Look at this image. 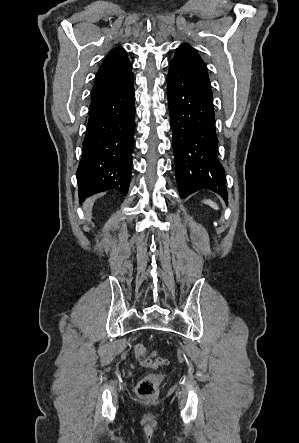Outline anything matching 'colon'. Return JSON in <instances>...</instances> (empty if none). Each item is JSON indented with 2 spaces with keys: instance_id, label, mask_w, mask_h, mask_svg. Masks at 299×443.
I'll use <instances>...</instances> for the list:
<instances>
[{
  "instance_id": "1",
  "label": "colon",
  "mask_w": 299,
  "mask_h": 443,
  "mask_svg": "<svg viewBox=\"0 0 299 443\" xmlns=\"http://www.w3.org/2000/svg\"><path fill=\"white\" fill-rule=\"evenodd\" d=\"M134 353L140 365L146 368H157L167 363V359L158 356L156 353H149L143 344H136ZM160 381V374L150 373L145 375L137 384V395L145 400L155 399Z\"/></svg>"
}]
</instances>
